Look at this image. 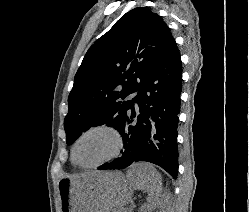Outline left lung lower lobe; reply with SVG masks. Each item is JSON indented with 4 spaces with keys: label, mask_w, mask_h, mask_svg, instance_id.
<instances>
[{
    "label": "left lung lower lobe",
    "mask_w": 249,
    "mask_h": 212,
    "mask_svg": "<svg viewBox=\"0 0 249 212\" xmlns=\"http://www.w3.org/2000/svg\"><path fill=\"white\" fill-rule=\"evenodd\" d=\"M181 90V59L173 40L145 77L118 130L123 136V156L98 169H121L134 161H148L176 178Z\"/></svg>",
    "instance_id": "0a47b994"
}]
</instances>
